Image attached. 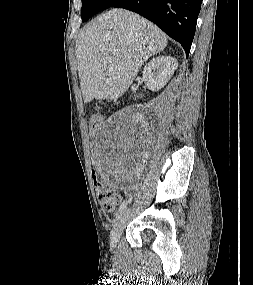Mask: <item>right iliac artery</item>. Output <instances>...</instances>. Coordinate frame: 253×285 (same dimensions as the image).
<instances>
[{"label":"right iliac artery","mask_w":253,"mask_h":285,"mask_svg":"<svg viewBox=\"0 0 253 285\" xmlns=\"http://www.w3.org/2000/svg\"><path fill=\"white\" fill-rule=\"evenodd\" d=\"M127 204H128V201H127V200H124V201L121 203L120 208H119V210H118V212H117V214H116L117 216H119V215L125 210Z\"/></svg>","instance_id":"obj_1"}]
</instances>
